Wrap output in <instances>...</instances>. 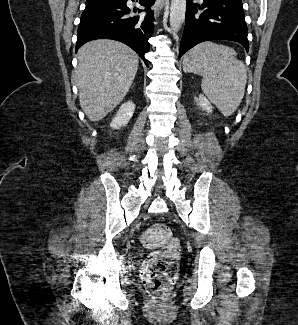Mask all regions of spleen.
I'll use <instances>...</instances> for the list:
<instances>
[{
	"label": "spleen",
	"mask_w": 298,
	"mask_h": 325,
	"mask_svg": "<svg viewBox=\"0 0 298 325\" xmlns=\"http://www.w3.org/2000/svg\"><path fill=\"white\" fill-rule=\"evenodd\" d=\"M183 70L203 76L204 94L224 116H230L238 108L244 96L247 72L234 48L210 40L200 42L186 52Z\"/></svg>",
	"instance_id": "obj_1"
}]
</instances>
